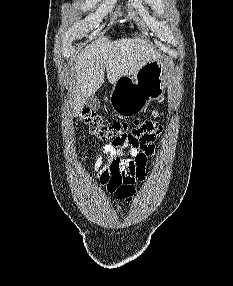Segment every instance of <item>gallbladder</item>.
I'll return each instance as SVG.
<instances>
[{"label": "gallbladder", "mask_w": 233, "mask_h": 286, "mask_svg": "<svg viewBox=\"0 0 233 286\" xmlns=\"http://www.w3.org/2000/svg\"><path fill=\"white\" fill-rule=\"evenodd\" d=\"M85 105L91 110H97L100 107V101L95 95H91L86 98Z\"/></svg>", "instance_id": "gallbladder-1"}]
</instances>
